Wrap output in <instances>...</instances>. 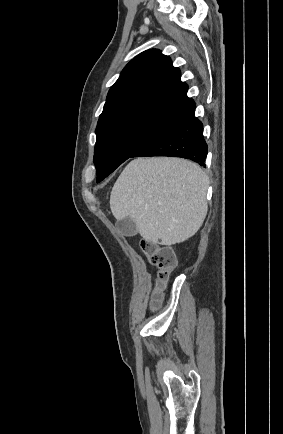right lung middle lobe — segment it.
Listing matches in <instances>:
<instances>
[{"mask_svg":"<svg viewBox=\"0 0 283 434\" xmlns=\"http://www.w3.org/2000/svg\"><path fill=\"white\" fill-rule=\"evenodd\" d=\"M172 121L151 114L133 113L98 124L94 150L97 182L112 173Z\"/></svg>","mask_w":283,"mask_h":434,"instance_id":"obj_1","label":"right lung middle lobe"}]
</instances>
